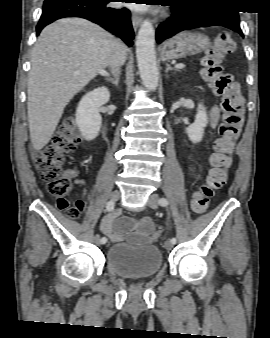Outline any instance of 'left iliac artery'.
<instances>
[{
	"label": "left iliac artery",
	"instance_id": "left-iliac-artery-1",
	"mask_svg": "<svg viewBox=\"0 0 270 338\" xmlns=\"http://www.w3.org/2000/svg\"><path fill=\"white\" fill-rule=\"evenodd\" d=\"M159 204L163 207H166L168 205V200L166 198H160L159 199ZM173 244H175L177 242L176 238L173 237L171 240H170Z\"/></svg>",
	"mask_w": 270,
	"mask_h": 338
}]
</instances>
